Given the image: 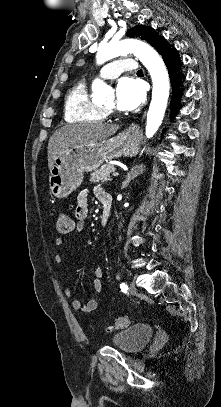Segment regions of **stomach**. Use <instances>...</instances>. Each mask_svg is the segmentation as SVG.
I'll list each match as a JSON object with an SVG mask.
<instances>
[{
    "instance_id": "1",
    "label": "stomach",
    "mask_w": 221,
    "mask_h": 407,
    "mask_svg": "<svg viewBox=\"0 0 221 407\" xmlns=\"http://www.w3.org/2000/svg\"><path fill=\"white\" fill-rule=\"evenodd\" d=\"M139 144V132L128 128L114 137L63 150L50 169V193L56 198L67 197L81 185L85 172L113 158L137 155Z\"/></svg>"
}]
</instances>
